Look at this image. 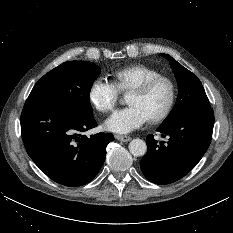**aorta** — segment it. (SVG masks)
<instances>
[{
    "mask_svg": "<svg viewBox=\"0 0 233 233\" xmlns=\"http://www.w3.org/2000/svg\"><path fill=\"white\" fill-rule=\"evenodd\" d=\"M129 151L133 156L140 157L146 154L147 145L142 139L136 138L129 143Z\"/></svg>",
    "mask_w": 233,
    "mask_h": 233,
    "instance_id": "762f6f07",
    "label": "aorta"
}]
</instances>
